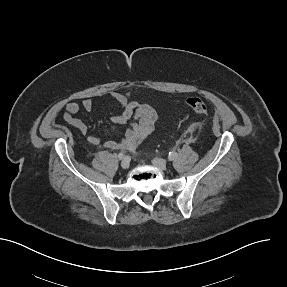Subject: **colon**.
Here are the masks:
<instances>
[{
    "instance_id": "obj_1",
    "label": "colon",
    "mask_w": 287,
    "mask_h": 287,
    "mask_svg": "<svg viewBox=\"0 0 287 287\" xmlns=\"http://www.w3.org/2000/svg\"><path fill=\"white\" fill-rule=\"evenodd\" d=\"M186 105L196 114L204 115L209 112V107L205 101L198 97H191L186 100Z\"/></svg>"
}]
</instances>
